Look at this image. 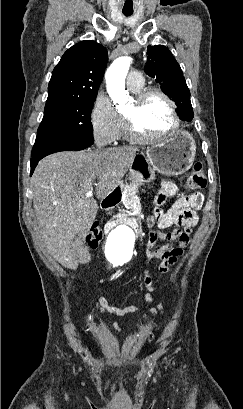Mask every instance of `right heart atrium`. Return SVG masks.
<instances>
[{"mask_svg":"<svg viewBox=\"0 0 243 409\" xmlns=\"http://www.w3.org/2000/svg\"><path fill=\"white\" fill-rule=\"evenodd\" d=\"M90 124L95 138L104 143H115L122 137L123 119L105 94L96 97L90 113Z\"/></svg>","mask_w":243,"mask_h":409,"instance_id":"1","label":"right heart atrium"}]
</instances>
